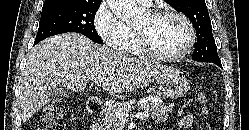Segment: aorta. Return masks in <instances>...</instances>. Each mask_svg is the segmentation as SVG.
<instances>
[{"label": "aorta", "instance_id": "aorta-1", "mask_svg": "<svg viewBox=\"0 0 249 130\" xmlns=\"http://www.w3.org/2000/svg\"><path fill=\"white\" fill-rule=\"evenodd\" d=\"M107 2L114 14L126 23L137 22L144 13V9L134 0H107Z\"/></svg>", "mask_w": 249, "mask_h": 130}]
</instances>
